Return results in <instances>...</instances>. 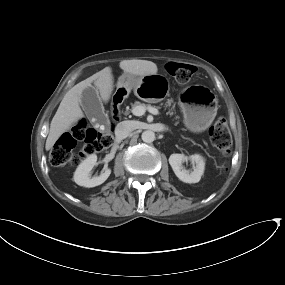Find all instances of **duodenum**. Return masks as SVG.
<instances>
[{"label": "duodenum", "mask_w": 285, "mask_h": 285, "mask_svg": "<svg viewBox=\"0 0 285 285\" xmlns=\"http://www.w3.org/2000/svg\"><path fill=\"white\" fill-rule=\"evenodd\" d=\"M121 105L122 98H120L117 94H114L112 99L111 113L116 121L120 119Z\"/></svg>", "instance_id": "duodenum-1"}]
</instances>
